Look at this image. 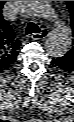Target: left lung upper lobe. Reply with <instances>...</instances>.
Here are the masks:
<instances>
[{"label":"left lung upper lobe","instance_id":"left-lung-upper-lobe-1","mask_svg":"<svg viewBox=\"0 0 74 122\" xmlns=\"http://www.w3.org/2000/svg\"><path fill=\"white\" fill-rule=\"evenodd\" d=\"M66 2H67L68 9L70 11L71 27H72L73 37H74V1H66ZM64 57L74 61V38L72 40L71 49L64 55Z\"/></svg>","mask_w":74,"mask_h":122}]
</instances>
